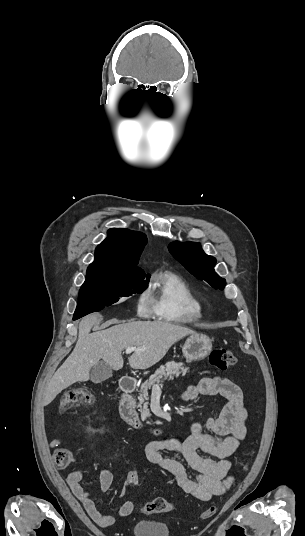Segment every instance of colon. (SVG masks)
<instances>
[{
	"label": "colon",
	"instance_id": "obj_1",
	"mask_svg": "<svg viewBox=\"0 0 305 536\" xmlns=\"http://www.w3.org/2000/svg\"><path fill=\"white\" fill-rule=\"evenodd\" d=\"M209 361L216 368L220 370H225L231 367L235 362V356L226 348L216 347L214 348L210 355ZM94 402V395L85 389H71L64 393L61 399V410H68L73 407H76L80 404H91ZM53 459L59 465H62L64 471H73L75 468V463L73 460H68L69 454L68 450L65 447H58L54 450ZM140 471L138 468L133 467L130 469L129 474L126 475L125 480L128 486L133 487L137 483V477L139 476ZM173 504L165 498L157 497L153 500H150L144 503L141 507V511L146 514L152 513H168L172 511ZM217 511L215 506L208 507L205 511L201 513L202 519L211 518Z\"/></svg>",
	"mask_w": 305,
	"mask_h": 536
}]
</instances>
